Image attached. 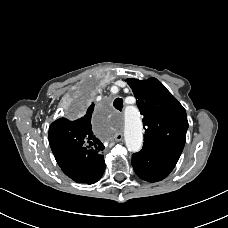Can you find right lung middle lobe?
Instances as JSON below:
<instances>
[{
    "label": "right lung middle lobe",
    "mask_w": 228,
    "mask_h": 228,
    "mask_svg": "<svg viewBox=\"0 0 228 228\" xmlns=\"http://www.w3.org/2000/svg\"><path fill=\"white\" fill-rule=\"evenodd\" d=\"M91 92L89 90L83 91L73 103V110L77 113L84 111L90 104Z\"/></svg>",
    "instance_id": "obj_1"
}]
</instances>
